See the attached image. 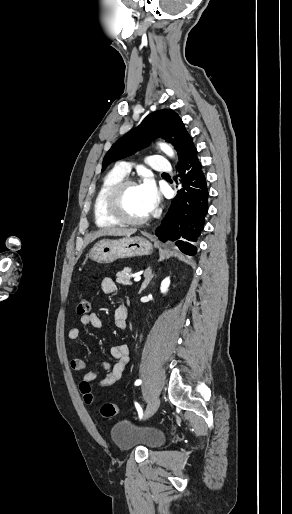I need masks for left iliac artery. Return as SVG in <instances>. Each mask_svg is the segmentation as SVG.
<instances>
[{
    "label": "left iliac artery",
    "instance_id": "1",
    "mask_svg": "<svg viewBox=\"0 0 292 514\" xmlns=\"http://www.w3.org/2000/svg\"><path fill=\"white\" fill-rule=\"evenodd\" d=\"M141 383H142V380H140V379H139V380H136V381H135V386H138V385H140ZM135 406H136V409H137V411H138L139 418L141 419V418H142V416H143L142 408H141V406H140L138 403H135Z\"/></svg>",
    "mask_w": 292,
    "mask_h": 514
}]
</instances>
